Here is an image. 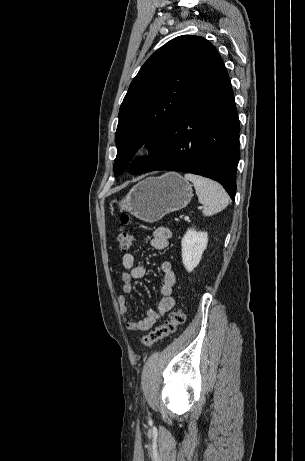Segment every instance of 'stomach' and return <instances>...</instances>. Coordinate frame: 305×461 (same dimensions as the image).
<instances>
[{
	"label": "stomach",
	"mask_w": 305,
	"mask_h": 461,
	"mask_svg": "<svg viewBox=\"0 0 305 461\" xmlns=\"http://www.w3.org/2000/svg\"><path fill=\"white\" fill-rule=\"evenodd\" d=\"M192 196V185L180 174L169 172L140 181L119 202V207L151 223L186 207Z\"/></svg>",
	"instance_id": "0dacf381"
}]
</instances>
